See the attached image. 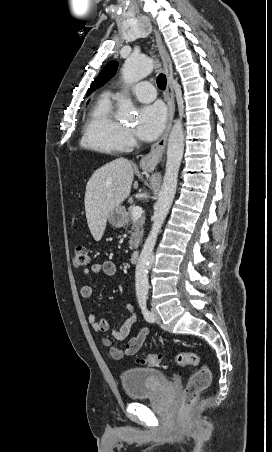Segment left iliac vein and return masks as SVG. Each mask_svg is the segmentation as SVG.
Masks as SVG:
<instances>
[{"instance_id":"1","label":"left iliac vein","mask_w":272,"mask_h":452,"mask_svg":"<svg viewBox=\"0 0 272 452\" xmlns=\"http://www.w3.org/2000/svg\"><path fill=\"white\" fill-rule=\"evenodd\" d=\"M152 314H153L154 320L157 323H160L161 322V318H160V316H159V314H158V312H157V310L155 308H152Z\"/></svg>"}]
</instances>
